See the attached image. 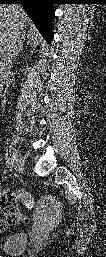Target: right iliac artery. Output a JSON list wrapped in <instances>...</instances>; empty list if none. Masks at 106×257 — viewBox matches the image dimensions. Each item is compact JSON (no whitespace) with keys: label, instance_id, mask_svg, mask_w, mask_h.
I'll return each mask as SVG.
<instances>
[{"label":"right iliac artery","instance_id":"82829eb1","mask_svg":"<svg viewBox=\"0 0 106 257\" xmlns=\"http://www.w3.org/2000/svg\"><path fill=\"white\" fill-rule=\"evenodd\" d=\"M6 164L8 169L12 171L14 165H13V159L11 157H7Z\"/></svg>","mask_w":106,"mask_h":257}]
</instances>
